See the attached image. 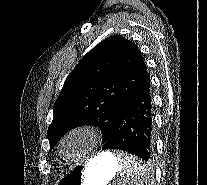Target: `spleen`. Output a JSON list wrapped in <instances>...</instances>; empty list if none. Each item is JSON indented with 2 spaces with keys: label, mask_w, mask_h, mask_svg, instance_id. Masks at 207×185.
<instances>
[{
  "label": "spleen",
  "mask_w": 207,
  "mask_h": 185,
  "mask_svg": "<svg viewBox=\"0 0 207 185\" xmlns=\"http://www.w3.org/2000/svg\"><path fill=\"white\" fill-rule=\"evenodd\" d=\"M120 170L116 185H144L146 179H154V174H149V166L142 163V159L137 158V153L121 151L117 153Z\"/></svg>",
  "instance_id": "1"
}]
</instances>
